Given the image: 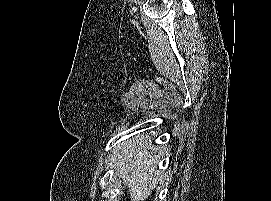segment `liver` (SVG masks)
<instances>
[{"instance_id": "1", "label": "liver", "mask_w": 271, "mask_h": 201, "mask_svg": "<svg viewBox=\"0 0 271 201\" xmlns=\"http://www.w3.org/2000/svg\"><path fill=\"white\" fill-rule=\"evenodd\" d=\"M147 136H136L114 149L115 175L129 188L131 201H145L164 178L157 169L158 148ZM121 154V155H119ZM118 157V158H117Z\"/></svg>"}]
</instances>
